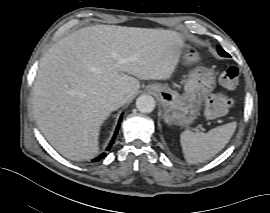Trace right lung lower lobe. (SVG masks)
I'll use <instances>...</instances> for the list:
<instances>
[{"mask_svg":"<svg viewBox=\"0 0 270 213\" xmlns=\"http://www.w3.org/2000/svg\"><path fill=\"white\" fill-rule=\"evenodd\" d=\"M120 120H121V118H120ZM119 126H120V122L118 123V126H117V128H116V131H115V133H114V136H113V138H112V140H111L109 146L107 147V150H108V151L110 150V148H111V146H112V143L114 142V139L116 138V135H117V133H118V128H119ZM105 156H106V153H103V154H101L99 157L93 159V162H96V161H98V160L104 158Z\"/></svg>","mask_w":270,"mask_h":213,"instance_id":"1","label":"right lung lower lobe"}]
</instances>
